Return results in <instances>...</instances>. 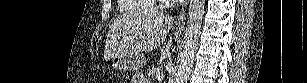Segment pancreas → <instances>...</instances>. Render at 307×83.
<instances>
[{
	"mask_svg": "<svg viewBox=\"0 0 307 83\" xmlns=\"http://www.w3.org/2000/svg\"><path fill=\"white\" fill-rule=\"evenodd\" d=\"M161 72H162V70H161L160 67L153 66L152 68H150V69L148 70L147 75H148L149 77L154 78V77H156L158 74H161Z\"/></svg>",
	"mask_w": 307,
	"mask_h": 83,
	"instance_id": "pancreas-1",
	"label": "pancreas"
}]
</instances>
